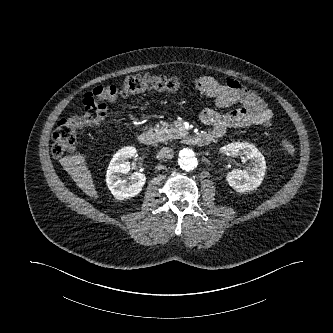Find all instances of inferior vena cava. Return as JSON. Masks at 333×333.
<instances>
[{"label": "inferior vena cava", "mask_w": 333, "mask_h": 333, "mask_svg": "<svg viewBox=\"0 0 333 333\" xmlns=\"http://www.w3.org/2000/svg\"><path fill=\"white\" fill-rule=\"evenodd\" d=\"M174 156V152L171 148L163 147L157 153V159L167 161L172 159Z\"/></svg>", "instance_id": "602c4592"}]
</instances>
